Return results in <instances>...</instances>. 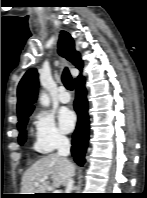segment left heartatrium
I'll list each match as a JSON object with an SVG mask.
<instances>
[{
    "instance_id": "1",
    "label": "left heart atrium",
    "mask_w": 147,
    "mask_h": 198,
    "mask_svg": "<svg viewBox=\"0 0 147 198\" xmlns=\"http://www.w3.org/2000/svg\"><path fill=\"white\" fill-rule=\"evenodd\" d=\"M58 119H59L60 127L64 132L68 133L72 131L76 123V116L71 110L62 109L59 112Z\"/></svg>"
}]
</instances>
